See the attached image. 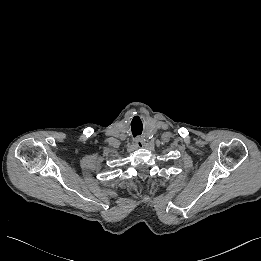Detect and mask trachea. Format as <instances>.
<instances>
[{
	"label": "trachea",
	"mask_w": 261,
	"mask_h": 261,
	"mask_svg": "<svg viewBox=\"0 0 261 261\" xmlns=\"http://www.w3.org/2000/svg\"><path fill=\"white\" fill-rule=\"evenodd\" d=\"M131 128H132V134H133L134 137L141 135V133H142V123L140 124V126L132 125Z\"/></svg>",
	"instance_id": "trachea-1"
}]
</instances>
